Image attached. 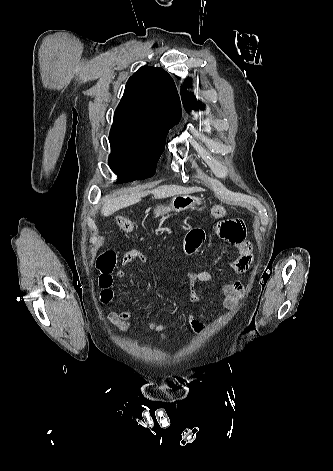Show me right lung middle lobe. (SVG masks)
Wrapping results in <instances>:
<instances>
[{
    "label": "right lung middle lobe",
    "instance_id": "1",
    "mask_svg": "<svg viewBox=\"0 0 333 471\" xmlns=\"http://www.w3.org/2000/svg\"><path fill=\"white\" fill-rule=\"evenodd\" d=\"M167 132L145 126L114 124L109 135V166L116 183L151 177L165 149Z\"/></svg>",
    "mask_w": 333,
    "mask_h": 471
}]
</instances>
